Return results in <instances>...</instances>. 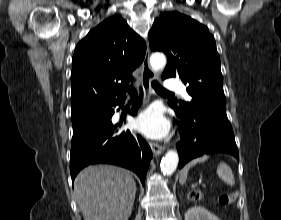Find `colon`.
I'll list each match as a JSON object with an SVG mask.
<instances>
[{
	"mask_svg": "<svg viewBox=\"0 0 281 220\" xmlns=\"http://www.w3.org/2000/svg\"><path fill=\"white\" fill-rule=\"evenodd\" d=\"M193 200H201L202 194L200 192L194 191L190 194ZM237 198V193H230V194H222L219 196L218 201L221 205H227Z\"/></svg>",
	"mask_w": 281,
	"mask_h": 220,
	"instance_id": "5ec220e1",
	"label": "colon"
}]
</instances>
